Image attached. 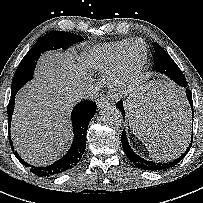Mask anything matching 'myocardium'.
I'll use <instances>...</instances> for the list:
<instances>
[{
    "instance_id": "f54148a6",
    "label": "myocardium",
    "mask_w": 203,
    "mask_h": 203,
    "mask_svg": "<svg viewBox=\"0 0 203 203\" xmlns=\"http://www.w3.org/2000/svg\"><path fill=\"white\" fill-rule=\"evenodd\" d=\"M134 44H140L143 48L144 54L142 60L134 67H130L128 63V56L130 48ZM148 58L147 47L139 39H132L127 44L119 62L115 68L110 72L109 85L118 94L128 93L140 78Z\"/></svg>"
}]
</instances>
